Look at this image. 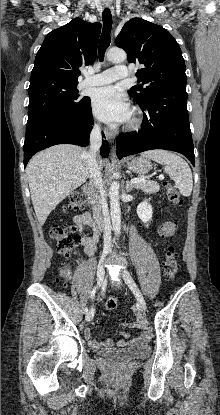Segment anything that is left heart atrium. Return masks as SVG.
I'll return each mask as SVG.
<instances>
[{"instance_id": "1", "label": "left heart atrium", "mask_w": 220, "mask_h": 415, "mask_svg": "<svg viewBox=\"0 0 220 415\" xmlns=\"http://www.w3.org/2000/svg\"><path fill=\"white\" fill-rule=\"evenodd\" d=\"M95 115L105 122H125L131 116L129 103L115 86L96 89L92 94Z\"/></svg>"}]
</instances>
